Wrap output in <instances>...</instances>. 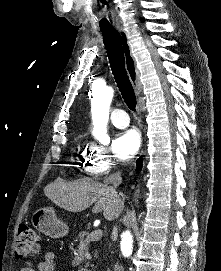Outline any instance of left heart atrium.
<instances>
[{
  "label": "left heart atrium",
  "mask_w": 221,
  "mask_h": 271,
  "mask_svg": "<svg viewBox=\"0 0 221 271\" xmlns=\"http://www.w3.org/2000/svg\"><path fill=\"white\" fill-rule=\"evenodd\" d=\"M171 94H177V92H171ZM140 141V134L137 130H130L121 133L117 142L112 145L114 157H131L138 148Z\"/></svg>",
  "instance_id": "left-heart-atrium-1"
}]
</instances>
